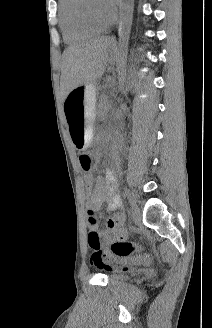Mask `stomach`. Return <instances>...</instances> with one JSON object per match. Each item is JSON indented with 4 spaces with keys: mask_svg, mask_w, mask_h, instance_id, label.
Masks as SVG:
<instances>
[{
    "mask_svg": "<svg viewBox=\"0 0 212 328\" xmlns=\"http://www.w3.org/2000/svg\"><path fill=\"white\" fill-rule=\"evenodd\" d=\"M66 124H69L71 140L77 150L86 149L93 136V117L96 108L94 83L74 88L65 98Z\"/></svg>",
    "mask_w": 212,
    "mask_h": 328,
    "instance_id": "1",
    "label": "stomach"
}]
</instances>
